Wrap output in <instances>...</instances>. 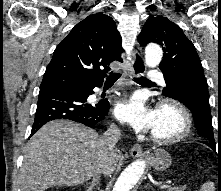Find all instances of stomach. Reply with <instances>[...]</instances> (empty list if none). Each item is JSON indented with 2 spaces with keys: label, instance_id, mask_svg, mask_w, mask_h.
<instances>
[{
  "label": "stomach",
  "instance_id": "stomach-1",
  "mask_svg": "<svg viewBox=\"0 0 221 191\" xmlns=\"http://www.w3.org/2000/svg\"><path fill=\"white\" fill-rule=\"evenodd\" d=\"M150 164L157 171H164L171 165V156L163 149L155 150L150 156Z\"/></svg>",
  "mask_w": 221,
  "mask_h": 191
}]
</instances>
